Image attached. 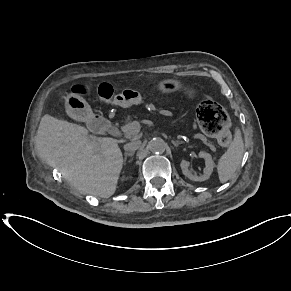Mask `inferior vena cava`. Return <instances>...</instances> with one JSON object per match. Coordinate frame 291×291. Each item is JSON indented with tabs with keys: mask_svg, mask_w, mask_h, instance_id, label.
I'll use <instances>...</instances> for the list:
<instances>
[{
	"mask_svg": "<svg viewBox=\"0 0 291 291\" xmlns=\"http://www.w3.org/2000/svg\"><path fill=\"white\" fill-rule=\"evenodd\" d=\"M141 146V141L140 140H135V141H132V142H129V143H126L124 145V150L125 151H131V152H134L136 151L137 149H139Z\"/></svg>",
	"mask_w": 291,
	"mask_h": 291,
	"instance_id": "602c4592",
	"label": "inferior vena cava"
}]
</instances>
